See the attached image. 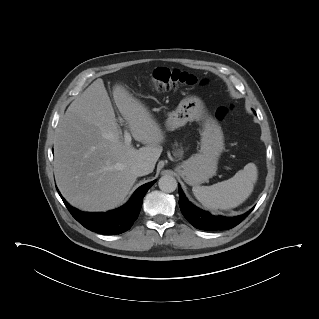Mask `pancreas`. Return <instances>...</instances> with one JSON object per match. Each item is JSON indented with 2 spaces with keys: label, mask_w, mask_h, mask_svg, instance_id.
I'll list each match as a JSON object with an SVG mask.
<instances>
[{
  "label": "pancreas",
  "mask_w": 319,
  "mask_h": 319,
  "mask_svg": "<svg viewBox=\"0 0 319 319\" xmlns=\"http://www.w3.org/2000/svg\"><path fill=\"white\" fill-rule=\"evenodd\" d=\"M176 147L178 146V144L177 143H175L174 144ZM173 155L175 156V157H181L182 155H183V151L181 150V149H175L174 151H173Z\"/></svg>",
  "instance_id": "1"
}]
</instances>
